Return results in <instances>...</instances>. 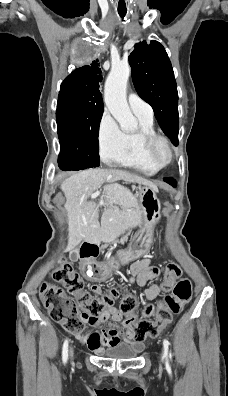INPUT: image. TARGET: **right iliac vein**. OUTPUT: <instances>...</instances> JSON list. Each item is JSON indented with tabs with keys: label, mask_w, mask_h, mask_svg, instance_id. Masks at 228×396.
I'll return each instance as SVG.
<instances>
[{
	"label": "right iliac vein",
	"mask_w": 228,
	"mask_h": 396,
	"mask_svg": "<svg viewBox=\"0 0 228 396\" xmlns=\"http://www.w3.org/2000/svg\"><path fill=\"white\" fill-rule=\"evenodd\" d=\"M73 348L70 349V356L73 357Z\"/></svg>",
	"instance_id": "63e3f726"
}]
</instances>
